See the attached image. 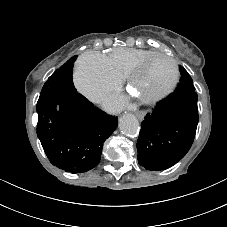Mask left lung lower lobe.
Instances as JSON below:
<instances>
[{"mask_svg":"<svg viewBox=\"0 0 227 227\" xmlns=\"http://www.w3.org/2000/svg\"><path fill=\"white\" fill-rule=\"evenodd\" d=\"M198 124L195 90L175 91L158 102L142 122L138 163L160 171L181 160L191 148Z\"/></svg>","mask_w":227,"mask_h":227,"instance_id":"0a47b994","label":"left lung lower lobe"}]
</instances>
